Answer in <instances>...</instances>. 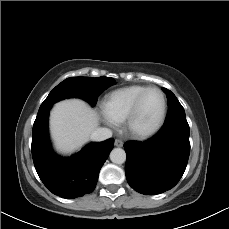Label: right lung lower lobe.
Returning <instances> with one entry per match:
<instances>
[{"mask_svg": "<svg viewBox=\"0 0 229 229\" xmlns=\"http://www.w3.org/2000/svg\"><path fill=\"white\" fill-rule=\"evenodd\" d=\"M50 108L41 105L33 125L31 149L37 174L48 190L62 198L73 199L89 194L97 184L114 139L90 143L69 158L59 157L52 151L49 141Z\"/></svg>", "mask_w": 229, "mask_h": 229, "instance_id": "98d812e1", "label": "right lung lower lobe"}]
</instances>
